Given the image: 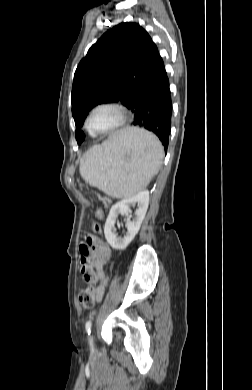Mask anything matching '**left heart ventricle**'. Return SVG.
Instances as JSON below:
<instances>
[{"label":"left heart ventricle","instance_id":"1","mask_svg":"<svg viewBox=\"0 0 252 390\" xmlns=\"http://www.w3.org/2000/svg\"><path fill=\"white\" fill-rule=\"evenodd\" d=\"M116 121V114L109 109H101L94 113L91 119V125L96 130L109 128Z\"/></svg>","mask_w":252,"mask_h":390}]
</instances>
